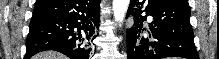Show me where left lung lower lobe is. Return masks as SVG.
Returning a JSON list of instances; mask_svg holds the SVG:
<instances>
[{"label": "left lung lower lobe", "instance_id": "1", "mask_svg": "<svg viewBox=\"0 0 219 59\" xmlns=\"http://www.w3.org/2000/svg\"><path fill=\"white\" fill-rule=\"evenodd\" d=\"M190 14L188 0H131L126 18L133 15L135 23L127 30L128 59H199Z\"/></svg>", "mask_w": 219, "mask_h": 59}]
</instances>
